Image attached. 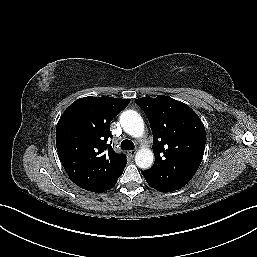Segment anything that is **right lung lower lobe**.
Listing matches in <instances>:
<instances>
[{"label":"right lung lower lobe","instance_id":"1","mask_svg":"<svg viewBox=\"0 0 257 257\" xmlns=\"http://www.w3.org/2000/svg\"><path fill=\"white\" fill-rule=\"evenodd\" d=\"M122 175V174H121ZM120 175V176H121ZM119 176V177H120ZM118 179V178H117ZM117 179H115L111 184H109L108 186H106V187H103V188H101V189H98V190H95V191H93V192H97V193H99V192H104V191H107V190H109L110 188H112L115 184H116V182H117Z\"/></svg>","mask_w":257,"mask_h":257}]
</instances>
